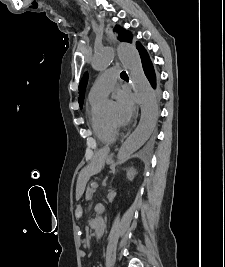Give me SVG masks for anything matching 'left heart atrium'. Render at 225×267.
Masks as SVG:
<instances>
[{
    "instance_id": "1",
    "label": "left heart atrium",
    "mask_w": 225,
    "mask_h": 267,
    "mask_svg": "<svg viewBox=\"0 0 225 267\" xmlns=\"http://www.w3.org/2000/svg\"><path fill=\"white\" fill-rule=\"evenodd\" d=\"M115 100L117 105L115 122L117 125H125L131 120L134 112L132 96L127 90H118Z\"/></svg>"
}]
</instances>
